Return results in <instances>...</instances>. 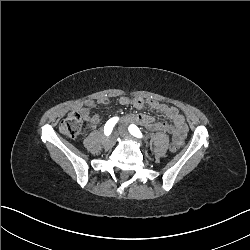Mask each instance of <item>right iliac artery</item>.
Segmentation results:
<instances>
[{"label":"right iliac artery","instance_id":"82829eb1","mask_svg":"<svg viewBox=\"0 0 250 250\" xmlns=\"http://www.w3.org/2000/svg\"><path fill=\"white\" fill-rule=\"evenodd\" d=\"M118 119H119L118 117H113L106 122L104 126V134L106 136H109L111 134L113 127L117 123Z\"/></svg>","mask_w":250,"mask_h":250}]
</instances>
